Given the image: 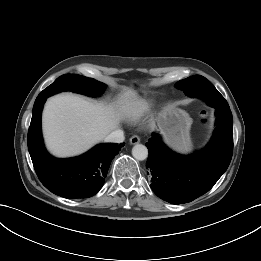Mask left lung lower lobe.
<instances>
[{
  "label": "left lung lower lobe",
  "instance_id": "1",
  "mask_svg": "<svg viewBox=\"0 0 261 261\" xmlns=\"http://www.w3.org/2000/svg\"><path fill=\"white\" fill-rule=\"evenodd\" d=\"M185 94L201 98L215 108L217 127L209 144L188 156L172 152L155 134L146 143L150 187L172 204L191 202L208 192L227 170L233 152L232 113L224 97L208 80Z\"/></svg>",
  "mask_w": 261,
  "mask_h": 261
}]
</instances>
